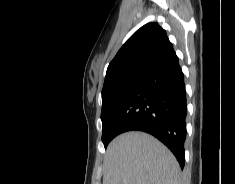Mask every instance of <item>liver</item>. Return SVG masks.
<instances>
[{
    "label": "liver",
    "instance_id": "liver-1",
    "mask_svg": "<svg viewBox=\"0 0 235 184\" xmlns=\"http://www.w3.org/2000/svg\"><path fill=\"white\" fill-rule=\"evenodd\" d=\"M103 184H181V170L170 150L144 132H126L110 142Z\"/></svg>",
    "mask_w": 235,
    "mask_h": 184
}]
</instances>
